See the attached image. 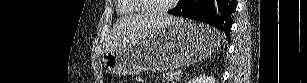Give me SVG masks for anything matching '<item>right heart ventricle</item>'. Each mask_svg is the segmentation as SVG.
Listing matches in <instances>:
<instances>
[{"label": "right heart ventricle", "instance_id": "1", "mask_svg": "<svg viewBox=\"0 0 307 83\" xmlns=\"http://www.w3.org/2000/svg\"><path fill=\"white\" fill-rule=\"evenodd\" d=\"M141 10L130 0H121L118 5L119 14H132L140 12ZM142 12V11H141Z\"/></svg>", "mask_w": 307, "mask_h": 83}]
</instances>
